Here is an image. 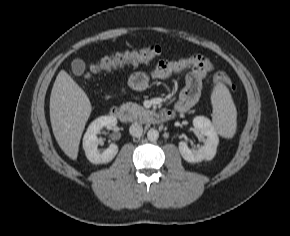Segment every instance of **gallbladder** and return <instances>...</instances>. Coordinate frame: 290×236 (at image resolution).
Returning a JSON list of instances; mask_svg holds the SVG:
<instances>
[{
  "label": "gallbladder",
  "mask_w": 290,
  "mask_h": 236,
  "mask_svg": "<svg viewBox=\"0 0 290 236\" xmlns=\"http://www.w3.org/2000/svg\"><path fill=\"white\" fill-rule=\"evenodd\" d=\"M72 72L76 76H80L84 73L85 70V63L81 59H74L71 63Z\"/></svg>",
  "instance_id": "1"
}]
</instances>
